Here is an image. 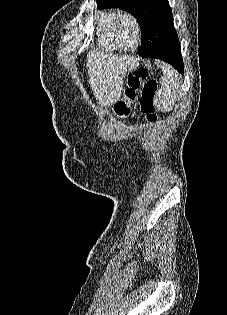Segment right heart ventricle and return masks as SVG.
I'll use <instances>...</instances> for the list:
<instances>
[{
  "instance_id": "obj_1",
  "label": "right heart ventricle",
  "mask_w": 227,
  "mask_h": 315,
  "mask_svg": "<svg viewBox=\"0 0 227 315\" xmlns=\"http://www.w3.org/2000/svg\"><path fill=\"white\" fill-rule=\"evenodd\" d=\"M121 12L115 8H104L97 12L95 20L99 45L105 50H118L113 35V26Z\"/></svg>"
}]
</instances>
